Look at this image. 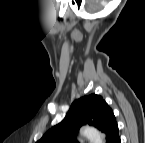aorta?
Segmentation results:
<instances>
[{
  "label": "aorta",
  "mask_w": 145,
  "mask_h": 143,
  "mask_svg": "<svg viewBox=\"0 0 145 143\" xmlns=\"http://www.w3.org/2000/svg\"><path fill=\"white\" fill-rule=\"evenodd\" d=\"M82 134L88 138L91 143H103L102 134L94 127H84Z\"/></svg>",
  "instance_id": "obj_1"
}]
</instances>
